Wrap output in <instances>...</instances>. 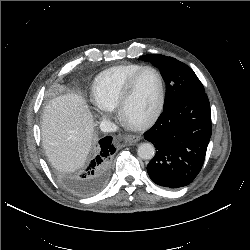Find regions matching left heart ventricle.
Instances as JSON below:
<instances>
[{
  "label": "left heart ventricle",
  "instance_id": "obj_1",
  "mask_svg": "<svg viewBox=\"0 0 250 250\" xmlns=\"http://www.w3.org/2000/svg\"><path fill=\"white\" fill-rule=\"evenodd\" d=\"M159 93V82L154 72L146 70L137 78L125 108L124 116L129 122H137L153 109Z\"/></svg>",
  "mask_w": 250,
  "mask_h": 250
}]
</instances>
